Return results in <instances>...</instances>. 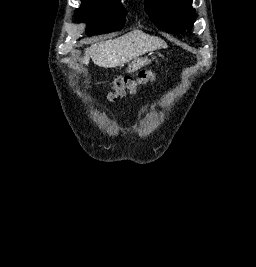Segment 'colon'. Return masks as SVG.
<instances>
[{"label":"colon","instance_id":"1","mask_svg":"<svg viewBox=\"0 0 256 267\" xmlns=\"http://www.w3.org/2000/svg\"><path fill=\"white\" fill-rule=\"evenodd\" d=\"M153 79L154 73L152 71H146V69L139 70L137 77L127 75L120 77L113 83L112 88L108 92V98H117L126 94H133L138 86L151 83Z\"/></svg>","mask_w":256,"mask_h":267}]
</instances>
